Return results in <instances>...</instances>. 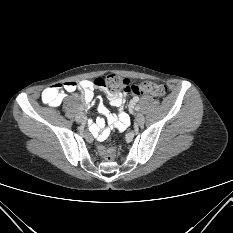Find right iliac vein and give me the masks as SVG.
I'll use <instances>...</instances> for the list:
<instances>
[{"mask_svg":"<svg viewBox=\"0 0 233 233\" xmlns=\"http://www.w3.org/2000/svg\"><path fill=\"white\" fill-rule=\"evenodd\" d=\"M75 120H76V122H78V123H82V122H84V121L86 120V117H85L84 113L79 112V113L76 115Z\"/></svg>","mask_w":233,"mask_h":233,"instance_id":"63e3f726","label":"right iliac vein"}]
</instances>
